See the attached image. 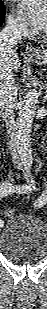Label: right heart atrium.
Instances as JSON below:
<instances>
[{
	"mask_svg": "<svg viewBox=\"0 0 47 309\" xmlns=\"http://www.w3.org/2000/svg\"><path fill=\"white\" fill-rule=\"evenodd\" d=\"M8 29L17 36H25L28 34L26 25L13 14H10L8 17Z\"/></svg>",
	"mask_w": 47,
	"mask_h": 309,
	"instance_id": "1",
	"label": "right heart atrium"
}]
</instances>
